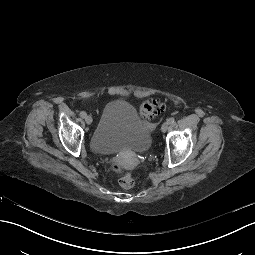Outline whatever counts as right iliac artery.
Here are the masks:
<instances>
[{
	"label": "right iliac artery",
	"mask_w": 255,
	"mask_h": 255,
	"mask_svg": "<svg viewBox=\"0 0 255 255\" xmlns=\"http://www.w3.org/2000/svg\"><path fill=\"white\" fill-rule=\"evenodd\" d=\"M80 116H81L82 118H85V117L87 116V114H86V112L82 111V112H80Z\"/></svg>",
	"instance_id": "82829eb1"
}]
</instances>
